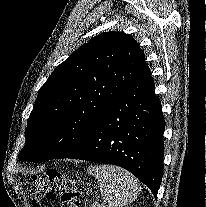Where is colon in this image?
<instances>
[{
  "label": "colon",
  "instance_id": "1",
  "mask_svg": "<svg viewBox=\"0 0 206 207\" xmlns=\"http://www.w3.org/2000/svg\"><path fill=\"white\" fill-rule=\"evenodd\" d=\"M29 190L36 198L58 199L61 207H82L81 194L75 182L54 169L34 177L29 184ZM35 207L38 205L35 204Z\"/></svg>",
  "mask_w": 206,
  "mask_h": 207
}]
</instances>
